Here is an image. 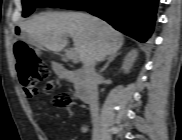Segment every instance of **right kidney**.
<instances>
[{
  "label": "right kidney",
  "mask_w": 182,
  "mask_h": 140,
  "mask_svg": "<svg viewBox=\"0 0 182 140\" xmlns=\"http://www.w3.org/2000/svg\"><path fill=\"white\" fill-rule=\"evenodd\" d=\"M138 56L137 50H132L130 51L127 56L125 57L122 65V69L124 70L125 73H128L135 62L136 58Z\"/></svg>",
  "instance_id": "1"
}]
</instances>
